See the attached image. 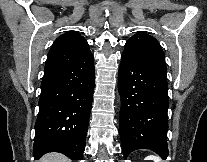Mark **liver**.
<instances>
[{
  "instance_id": "obj_1",
  "label": "liver",
  "mask_w": 207,
  "mask_h": 162,
  "mask_svg": "<svg viewBox=\"0 0 207 162\" xmlns=\"http://www.w3.org/2000/svg\"><path fill=\"white\" fill-rule=\"evenodd\" d=\"M38 162H71L66 156L52 152L44 155Z\"/></svg>"
}]
</instances>
